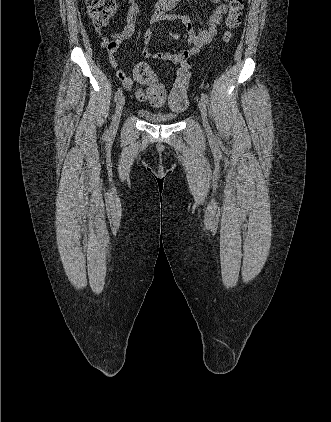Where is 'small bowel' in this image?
Here are the masks:
<instances>
[{
  "label": "small bowel",
  "instance_id": "1",
  "mask_svg": "<svg viewBox=\"0 0 331 422\" xmlns=\"http://www.w3.org/2000/svg\"><path fill=\"white\" fill-rule=\"evenodd\" d=\"M182 0H179L180 2ZM227 0H211L215 5L213 13L208 18V26L206 28L197 26L194 27L191 23V20L186 15H174L167 14L169 9L166 7V4L163 0H160L156 6L154 13L152 14L149 26L145 29L144 32V48L142 50V56L146 59H159L165 62L173 64H184L188 59L196 54H198L201 49L208 45L213 37L217 33V27L222 23L223 16L228 11ZM140 12V6L137 0H128V10L126 15V25L122 31L113 34H106L101 31L99 27H95V32L100 39L101 45L107 49L108 57L111 65L116 67V55L118 48L128 40L135 32V24ZM180 19L185 25V31L179 32L171 30L162 25L164 20H175ZM158 26L165 30L168 36L176 41L186 42L187 46L181 49H176L174 51H165V52H154L151 48V41L153 37V27ZM116 76L120 80L121 84L128 91L132 90L135 86V83H140L135 76L130 77L124 71L117 69ZM140 92V91H139ZM138 92V93H139ZM155 106H160L161 103H156L151 101Z\"/></svg>",
  "mask_w": 331,
  "mask_h": 422
}]
</instances>
